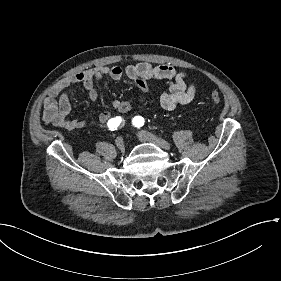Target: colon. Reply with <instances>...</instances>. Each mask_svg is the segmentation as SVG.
Instances as JSON below:
<instances>
[{
	"label": "colon",
	"mask_w": 281,
	"mask_h": 281,
	"mask_svg": "<svg viewBox=\"0 0 281 281\" xmlns=\"http://www.w3.org/2000/svg\"><path fill=\"white\" fill-rule=\"evenodd\" d=\"M210 101L214 104H219L222 102V96L218 93H212L210 95Z\"/></svg>",
	"instance_id": "colon-1"
}]
</instances>
